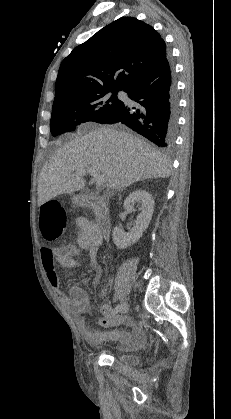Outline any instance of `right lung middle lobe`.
<instances>
[{"mask_svg":"<svg viewBox=\"0 0 231 419\" xmlns=\"http://www.w3.org/2000/svg\"><path fill=\"white\" fill-rule=\"evenodd\" d=\"M118 91L105 89L53 103L50 121L52 135L56 137L64 132L73 131L77 125L88 121L102 123L122 104V101L117 99Z\"/></svg>","mask_w":231,"mask_h":419,"instance_id":"obj_1","label":"right lung middle lobe"}]
</instances>
